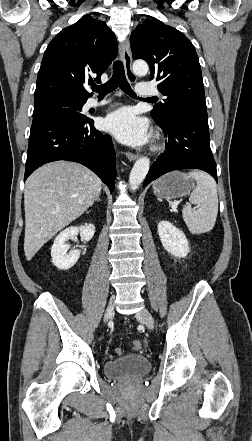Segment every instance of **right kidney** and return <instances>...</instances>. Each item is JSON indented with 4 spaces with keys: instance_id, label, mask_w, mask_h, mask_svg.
<instances>
[{
    "instance_id": "right-kidney-1",
    "label": "right kidney",
    "mask_w": 252,
    "mask_h": 441,
    "mask_svg": "<svg viewBox=\"0 0 252 441\" xmlns=\"http://www.w3.org/2000/svg\"><path fill=\"white\" fill-rule=\"evenodd\" d=\"M80 233L83 242L90 241L95 233V226L93 224L84 225L80 227H69L60 232L54 240L51 248L52 263L60 270H68L75 265L80 257V250H71L66 241L75 237Z\"/></svg>"
}]
</instances>
